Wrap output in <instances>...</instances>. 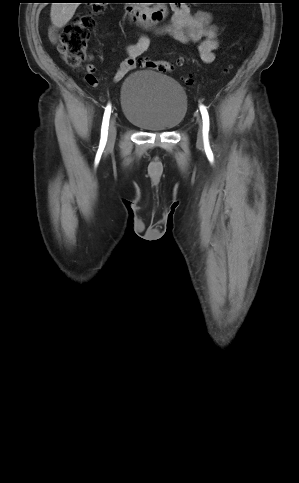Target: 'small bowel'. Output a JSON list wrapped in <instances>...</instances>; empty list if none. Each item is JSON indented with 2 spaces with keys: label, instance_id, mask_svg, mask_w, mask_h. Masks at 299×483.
I'll use <instances>...</instances> for the list:
<instances>
[{
  "label": "small bowel",
  "instance_id": "small-bowel-1",
  "mask_svg": "<svg viewBox=\"0 0 299 483\" xmlns=\"http://www.w3.org/2000/svg\"><path fill=\"white\" fill-rule=\"evenodd\" d=\"M211 19L209 12H192L187 4L178 2L173 7L171 21L163 26L154 27L153 31L157 35L168 36L182 44L199 43L198 51L201 60L210 64L214 62L215 51L219 46L217 40L219 29L212 24ZM50 39L54 43L58 42V33L55 29L50 31ZM149 45L150 39L144 34L140 35L135 43L127 45L128 57L118 66L114 76L115 81L122 80L136 67L137 59L146 52ZM87 72L95 76L96 69L93 65H88Z\"/></svg>",
  "mask_w": 299,
  "mask_h": 483
}]
</instances>
